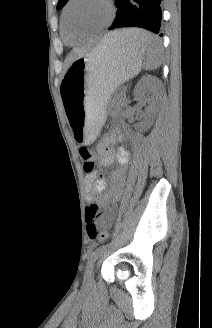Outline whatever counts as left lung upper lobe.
<instances>
[{
	"label": "left lung upper lobe",
	"instance_id": "5c2ea615",
	"mask_svg": "<svg viewBox=\"0 0 212 328\" xmlns=\"http://www.w3.org/2000/svg\"><path fill=\"white\" fill-rule=\"evenodd\" d=\"M67 1L68 0H59L57 4V9L62 8L67 3Z\"/></svg>",
	"mask_w": 212,
	"mask_h": 328
}]
</instances>
